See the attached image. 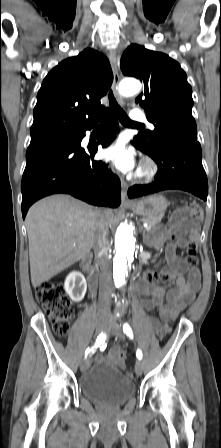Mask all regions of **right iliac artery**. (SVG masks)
<instances>
[{"label": "right iliac artery", "mask_w": 221, "mask_h": 448, "mask_svg": "<svg viewBox=\"0 0 221 448\" xmlns=\"http://www.w3.org/2000/svg\"><path fill=\"white\" fill-rule=\"evenodd\" d=\"M106 337H107L106 333H103V332H102V333L97 337L96 342H95V345H94L93 347H91V348H87V349H86V351H85V357H87V355H88L89 353H94L95 350H96V348H98L101 344H103V343L105 342Z\"/></svg>", "instance_id": "obj_1"}]
</instances>
